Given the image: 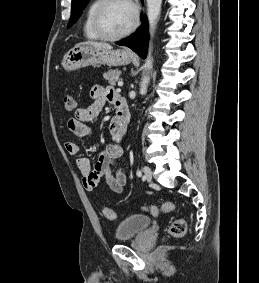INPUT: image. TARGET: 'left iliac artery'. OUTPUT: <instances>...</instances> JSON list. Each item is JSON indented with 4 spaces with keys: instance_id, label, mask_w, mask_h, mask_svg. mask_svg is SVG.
<instances>
[{
    "instance_id": "left-iliac-artery-1",
    "label": "left iliac artery",
    "mask_w": 259,
    "mask_h": 283,
    "mask_svg": "<svg viewBox=\"0 0 259 283\" xmlns=\"http://www.w3.org/2000/svg\"><path fill=\"white\" fill-rule=\"evenodd\" d=\"M136 174H137L138 177L142 176V172L140 170H137Z\"/></svg>"
}]
</instances>
